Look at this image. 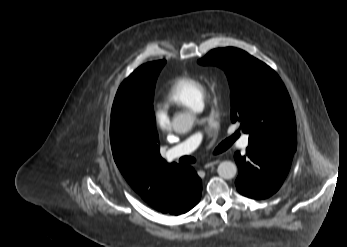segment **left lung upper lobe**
Here are the masks:
<instances>
[{"mask_svg":"<svg viewBox=\"0 0 347 247\" xmlns=\"http://www.w3.org/2000/svg\"><path fill=\"white\" fill-rule=\"evenodd\" d=\"M224 69L231 98V120L249 134V146L296 150V120L289 94L277 73L243 50L214 49L198 61Z\"/></svg>","mask_w":347,"mask_h":247,"instance_id":"1","label":"left lung upper lobe"}]
</instances>
